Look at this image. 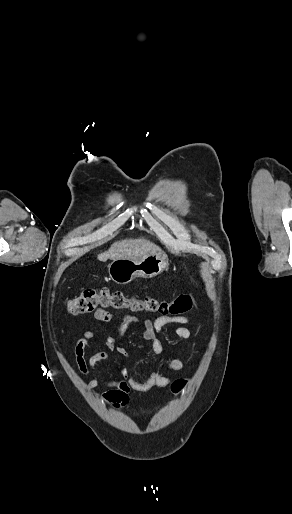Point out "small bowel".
Wrapping results in <instances>:
<instances>
[{"instance_id":"small-bowel-1","label":"small bowel","mask_w":292,"mask_h":514,"mask_svg":"<svg viewBox=\"0 0 292 514\" xmlns=\"http://www.w3.org/2000/svg\"><path fill=\"white\" fill-rule=\"evenodd\" d=\"M94 318L99 322H110L113 319V314L105 309H97L94 312ZM189 319L184 316H161L154 321L145 318L140 319L133 313L123 315L118 323L120 333L109 335L105 339V345L110 351H117L121 356H128V351L119 346L124 330L131 325H139L142 329V337L144 340L151 342L152 350L155 355H160L163 352V346L158 339V334L169 324L185 325ZM174 335L179 339H190L192 332L189 328L179 326L174 330ZM95 336L94 330H87L83 333L82 337L76 342L74 346V356L81 374L90 376L88 387L95 390L100 385L101 381L97 376V366L100 362L108 358L106 352H98L90 357H86V349L89 347L91 340ZM185 365L184 362L177 358H172L166 361L164 369L166 371H182ZM123 378L121 380L107 382L108 390L99 393L98 397L103 402L113 404L117 409L124 406L128 402V394L130 391L147 392L151 389L164 388L173 382L171 376L165 375L160 370H153L150 372L148 378L144 381L135 379L128 370H123Z\"/></svg>"}]
</instances>
